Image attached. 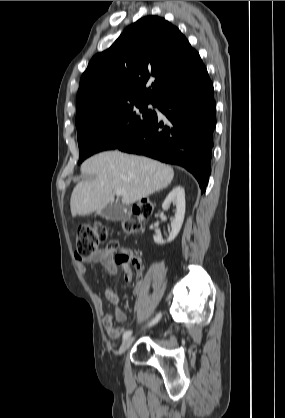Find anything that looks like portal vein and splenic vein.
Returning a JSON list of instances; mask_svg holds the SVG:
<instances>
[{
  "mask_svg": "<svg viewBox=\"0 0 285 418\" xmlns=\"http://www.w3.org/2000/svg\"><path fill=\"white\" fill-rule=\"evenodd\" d=\"M122 191L121 190H119V189H117V190H115V194L117 195V196H120V195H122Z\"/></svg>",
  "mask_w": 285,
  "mask_h": 418,
  "instance_id": "1",
  "label": "portal vein and splenic vein"
}]
</instances>
